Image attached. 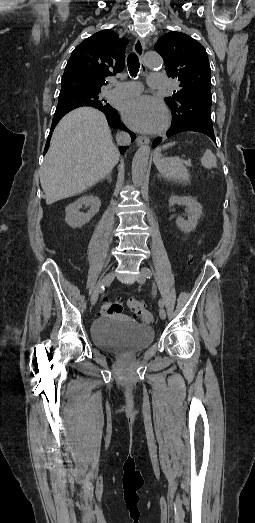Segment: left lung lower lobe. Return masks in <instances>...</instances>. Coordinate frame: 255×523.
Here are the masks:
<instances>
[{
	"label": "left lung lower lobe",
	"instance_id": "0a47b994",
	"mask_svg": "<svg viewBox=\"0 0 255 523\" xmlns=\"http://www.w3.org/2000/svg\"><path fill=\"white\" fill-rule=\"evenodd\" d=\"M182 129H192L196 130L197 132H207V130H202V127H190V125H180V127H171L169 130H166L165 134H162V137H157L153 141V148H158V145L161 144V141L164 140V137H173V135H179V132ZM208 137H210V140H217V137H215V134H209L207 133Z\"/></svg>",
	"mask_w": 255,
	"mask_h": 523
}]
</instances>
